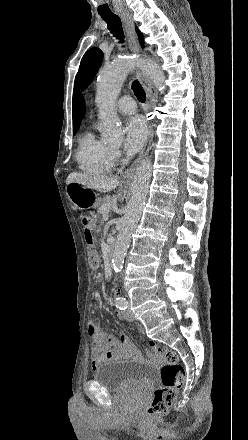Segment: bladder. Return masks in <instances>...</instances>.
Listing matches in <instances>:
<instances>
[{
  "label": "bladder",
  "mask_w": 248,
  "mask_h": 440,
  "mask_svg": "<svg viewBox=\"0 0 248 440\" xmlns=\"http://www.w3.org/2000/svg\"><path fill=\"white\" fill-rule=\"evenodd\" d=\"M152 367L132 361L114 360L99 365L93 371V379L109 391L148 390L154 380Z\"/></svg>",
  "instance_id": "31cf9c89"
}]
</instances>
